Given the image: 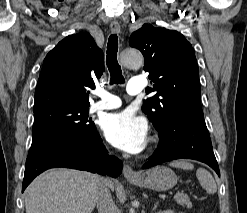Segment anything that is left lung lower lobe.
Listing matches in <instances>:
<instances>
[{"label":"left lung lower lobe","mask_w":247,"mask_h":213,"mask_svg":"<svg viewBox=\"0 0 247 213\" xmlns=\"http://www.w3.org/2000/svg\"><path fill=\"white\" fill-rule=\"evenodd\" d=\"M160 143L143 169L175 159H194L208 164L220 176L204 118L179 116L159 132Z\"/></svg>","instance_id":"obj_1"}]
</instances>
